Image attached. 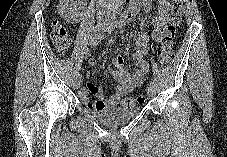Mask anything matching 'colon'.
<instances>
[{
  "label": "colon",
  "mask_w": 227,
  "mask_h": 157,
  "mask_svg": "<svg viewBox=\"0 0 227 157\" xmlns=\"http://www.w3.org/2000/svg\"><path fill=\"white\" fill-rule=\"evenodd\" d=\"M182 21V1L172 0L170 9V24L167 28L168 37L162 42L159 50V59L162 63H168L173 55V47L171 38L174 36L177 27ZM51 39L58 54L66 53L70 46V38L66 28L58 21L52 23ZM144 102L143 96L127 97L122 100V106L133 107Z\"/></svg>",
  "instance_id": "5ec220e1"
}]
</instances>
